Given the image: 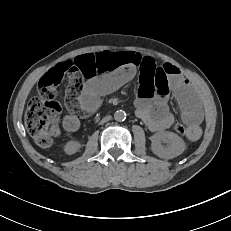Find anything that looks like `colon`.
Instances as JSON below:
<instances>
[{"label":"colon","instance_id":"colon-1","mask_svg":"<svg viewBox=\"0 0 231 231\" xmlns=\"http://www.w3.org/2000/svg\"><path fill=\"white\" fill-rule=\"evenodd\" d=\"M56 96L55 84L41 79L38 96L30 100L25 112L26 128L35 143L41 147L49 146L58 132L61 107ZM174 130L181 136H189L191 132L183 123H176Z\"/></svg>","mask_w":231,"mask_h":231}]
</instances>
